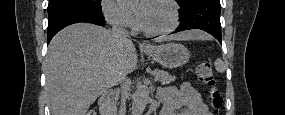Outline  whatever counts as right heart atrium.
Instances as JSON below:
<instances>
[{
    "label": "right heart atrium",
    "mask_w": 285,
    "mask_h": 115,
    "mask_svg": "<svg viewBox=\"0 0 285 115\" xmlns=\"http://www.w3.org/2000/svg\"><path fill=\"white\" fill-rule=\"evenodd\" d=\"M102 10L107 21L121 28L134 29L136 27V19L133 13L120 1L104 0L102 2Z\"/></svg>",
    "instance_id": "right-heart-atrium-1"
}]
</instances>
